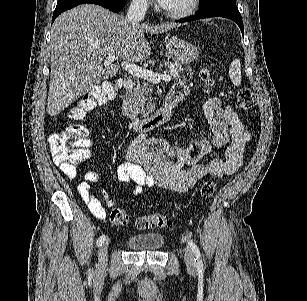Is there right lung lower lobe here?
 Here are the masks:
<instances>
[{"label":"right lung lower lobe","mask_w":307,"mask_h":301,"mask_svg":"<svg viewBox=\"0 0 307 301\" xmlns=\"http://www.w3.org/2000/svg\"><path fill=\"white\" fill-rule=\"evenodd\" d=\"M84 3L97 4L115 13H119L124 7L126 0H58L53 13L52 23L62 12Z\"/></svg>","instance_id":"obj_1"}]
</instances>
